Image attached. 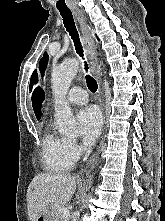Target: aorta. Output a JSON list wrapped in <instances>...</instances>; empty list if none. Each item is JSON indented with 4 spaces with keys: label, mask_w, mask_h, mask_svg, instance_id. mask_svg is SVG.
Returning <instances> with one entry per match:
<instances>
[{
    "label": "aorta",
    "mask_w": 165,
    "mask_h": 221,
    "mask_svg": "<svg viewBox=\"0 0 165 221\" xmlns=\"http://www.w3.org/2000/svg\"><path fill=\"white\" fill-rule=\"evenodd\" d=\"M79 70V61L66 60L54 68L51 74L52 89L55 95V120L59 133L74 135L77 133V124L71 108L65 101L70 84Z\"/></svg>",
    "instance_id": "obj_1"
}]
</instances>
